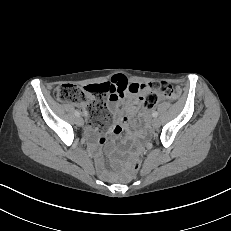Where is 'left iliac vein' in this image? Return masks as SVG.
Here are the masks:
<instances>
[{"label":"left iliac vein","instance_id":"1","mask_svg":"<svg viewBox=\"0 0 231 231\" xmlns=\"http://www.w3.org/2000/svg\"><path fill=\"white\" fill-rule=\"evenodd\" d=\"M151 125L153 128H159L160 126V121L157 118H154L151 122Z\"/></svg>","mask_w":231,"mask_h":231}]
</instances>
